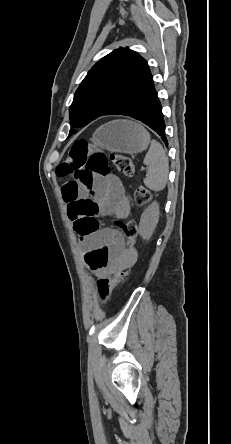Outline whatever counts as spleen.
Listing matches in <instances>:
<instances>
[{
  "mask_svg": "<svg viewBox=\"0 0 231 444\" xmlns=\"http://www.w3.org/2000/svg\"><path fill=\"white\" fill-rule=\"evenodd\" d=\"M143 163L148 169L144 179L145 186L153 191L163 190L168 181L169 162L162 145L156 140L151 141Z\"/></svg>",
  "mask_w": 231,
  "mask_h": 444,
  "instance_id": "spleen-1",
  "label": "spleen"
}]
</instances>
